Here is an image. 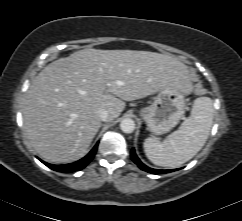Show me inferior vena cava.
<instances>
[{
	"mask_svg": "<svg viewBox=\"0 0 242 221\" xmlns=\"http://www.w3.org/2000/svg\"><path fill=\"white\" fill-rule=\"evenodd\" d=\"M97 115L101 121H109V112L104 109H100L97 111Z\"/></svg>",
	"mask_w": 242,
	"mask_h": 221,
	"instance_id": "602c4592",
	"label": "inferior vena cava"
}]
</instances>
